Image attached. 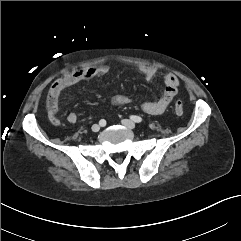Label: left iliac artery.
<instances>
[{"label": "left iliac artery", "mask_w": 241, "mask_h": 241, "mask_svg": "<svg viewBox=\"0 0 241 241\" xmlns=\"http://www.w3.org/2000/svg\"><path fill=\"white\" fill-rule=\"evenodd\" d=\"M130 118L136 123L142 122V118L140 116L132 115Z\"/></svg>", "instance_id": "44dca946"}]
</instances>
